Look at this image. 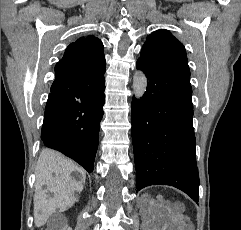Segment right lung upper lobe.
<instances>
[{
  "label": "right lung upper lobe",
  "mask_w": 241,
  "mask_h": 230,
  "mask_svg": "<svg viewBox=\"0 0 241 230\" xmlns=\"http://www.w3.org/2000/svg\"><path fill=\"white\" fill-rule=\"evenodd\" d=\"M58 63L73 70L102 73L106 69L103 44L94 36L81 37L67 47Z\"/></svg>",
  "instance_id": "cb5924a9"
}]
</instances>
